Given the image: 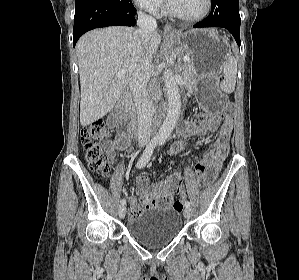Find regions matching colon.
<instances>
[{
	"instance_id": "5ec220e1",
	"label": "colon",
	"mask_w": 299,
	"mask_h": 280,
	"mask_svg": "<svg viewBox=\"0 0 299 280\" xmlns=\"http://www.w3.org/2000/svg\"><path fill=\"white\" fill-rule=\"evenodd\" d=\"M221 118L219 114L203 113L196 115L193 118L195 124H200L205 121H217ZM109 132L101 122H94L81 131V143L85 151V157L89 169L100 177H105L111 170L112 158L105 153L102 148V143L108 138ZM195 171L201 185L210 183L208 165L201 160L195 165ZM173 208L182 211L183 201L176 200L173 203ZM140 207L131 208L130 216L132 218L141 214Z\"/></svg>"
}]
</instances>
